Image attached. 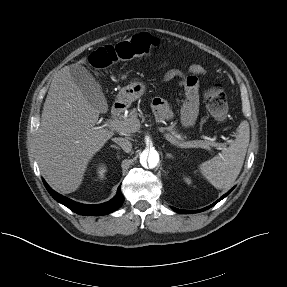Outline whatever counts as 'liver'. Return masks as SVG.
I'll list each match as a JSON object with an SVG mask.
<instances>
[{
	"mask_svg": "<svg viewBox=\"0 0 287 287\" xmlns=\"http://www.w3.org/2000/svg\"><path fill=\"white\" fill-rule=\"evenodd\" d=\"M98 118L99 110L74 84L69 66L63 67L52 79L35 140L40 170L55 190L76 191L92 157L114 135L95 127Z\"/></svg>",
	"mask_w": 287,
	"mask_h": 287,
	"instance_id": "6515ba94",
	"label": "liver"
}]
</instances>
